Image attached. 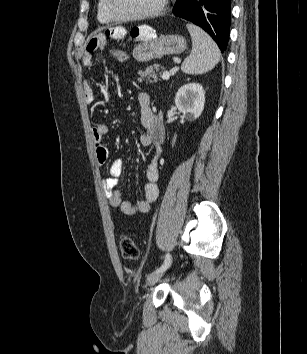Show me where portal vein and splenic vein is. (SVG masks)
Here are the masks:
<instances>
[{"label":"portal vein and splenic vein","mask_w":307,"mask_h":354,"mask_svg":"<svg viewBox=\"0 0 307 354\" xmlns=\"http://www.w3.org/2000/svg\"><path fill=\"white\" fill-rule=\"evenodd\" d=\"M170 78V73L168 71L163 72L162 79L168 80Z\"/></svg>","instance_id":"portal-vein-and-splenic-vein-1"}]
</instances>
